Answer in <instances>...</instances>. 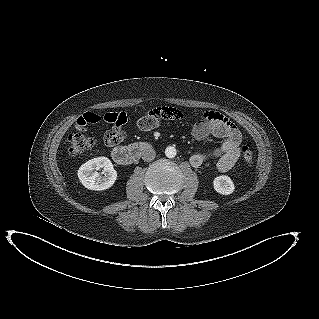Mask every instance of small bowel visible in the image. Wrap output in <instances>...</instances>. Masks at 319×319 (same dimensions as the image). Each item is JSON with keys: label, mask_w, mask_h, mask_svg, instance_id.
<instances>
[{"label": "small bowel", "mask_w": 319, "mask_h": 319, "mask_svg": "<svg viewBox=\"0 0 319 319\" xmlns=\"http://www.w3.org/2000/svg\"><path fill=\"white\" fill-rule=\"evenodd\" d=\"M183 117L181 110L174 107H155L137 121V126L142 131H150L157 128L162 120H180ZM101 117L95 113L87 112L77 120L76 128L82 131L87 125L97 123ZM192 136L197 140H203L210 135L221 139L218 148L211 152L196 153L190 157V164L198 168L211 159H216L217 168L226 172L230 170L240 157L242 134L238 127L222 114L206 112L203 117L193 124ZM126 132L118 126H114L104 135L107 146H116L126 138Z\"/></svg>", "instance_id": "1"}]
</instances>
